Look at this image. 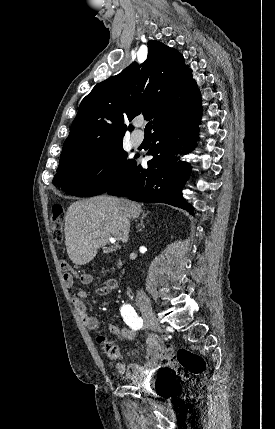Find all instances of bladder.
I'll list each match as a JSON object with an SVG mask.
<instances>
[{
  "instance_id": "obj_1",
  "label": "bladder",
  "mask_w": 275,
  "mask_h": 429,
  "mask_svg": "<svg viewBox=\"0 0 275 429\" xmlns=\"http://www.w3.org/2000/svg\"><path fill=\"white\" fill-rule=\"evenodd\" d=\"M135 387H141L146 398H176L177 390L173 388V377H148L145 381H134Z\"/></svg>"
}]
</instances>
